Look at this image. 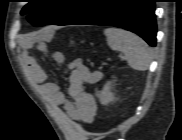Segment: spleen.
Returning a JSON list of instances; mask_svg holds the SVG:
<instances>
[{"label":"spleen","mask_w":182,"mask_h":140,"mask_svg":"<svg viewBox=\"0 0 182 140\" xmlns=\"http://www.w3.org/2000/svg\"><path fill=\"white\" fill-rule=\"evenodd\" d=\"M107 43L112 50L122 52L128 65L138 71H146L152 61V50L139 36L118 28L104 30Z\"/></svg>","instance_id":"spleen-1"}]
</instances>
